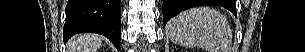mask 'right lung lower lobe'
I'll list each match as a JSON object with an SVG mask.
<instances>
[{"label": "right lung lower lobe", "mask_w": 305, "mask_h": 52, "mask_svg": "<svg viewBox=\"0 0 305 52\" xmlns=\"http://www.w3.org/2000/svg\"><path fill=\"white\" fill-rule=\"evenodd\" d=\"M121 0H68L63 30L64 42L77 33L106 36L119 50Z\"/></svg>", "instance_id": "right-lung-lower-lobe-1"}]
</instances>
